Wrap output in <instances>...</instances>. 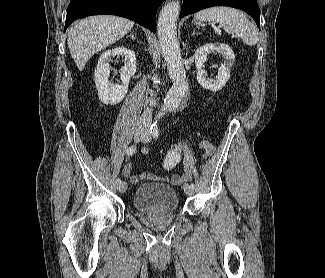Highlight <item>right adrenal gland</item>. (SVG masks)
Wrapping results in <instances>:
<instances>
[{"instance_id":"right-adrenal-gland-1","label":"right adrenal gland","mask_w":325,"mask_h":278,"mask_svg":"<svg viewBox=\"0 0 325 278\" xmlns=\"http://www.w3.org/2000/svg\"><path fill=\"white\" fill-rule=\"evenodd\" d=\"M129 37L132 38L133 40L136 39V38L134 37V33H133V32L129 35Z\"/></svg>"}]
</instances>
